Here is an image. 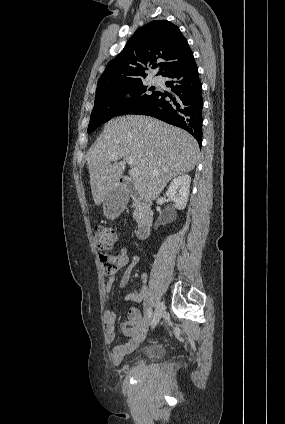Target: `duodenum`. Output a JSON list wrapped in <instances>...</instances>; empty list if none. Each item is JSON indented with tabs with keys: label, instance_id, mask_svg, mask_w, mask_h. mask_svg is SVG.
I'll use <instances>...</instances> for the list:
<instances>
[{
	"label": "duodenum",
	"instance_id": "obj_1",
	"mask_svg": "<svg viewBox=\"0 0 285 424\" xmlns=\"http://www.w3.org/2000/svg\"><path fill=\"white\" fill-rule=\"evenodd\" d=\"M120 186L123 191L130 194L137 191V185L133 178L124 176L120 179ZM138 224L136 228V236L140 240L149 237L153 225L154 212L150 206L143 200H138Z\"/></svg>",
	"mask_w": 285,
	"mask_h": 424
}]
</instances>
